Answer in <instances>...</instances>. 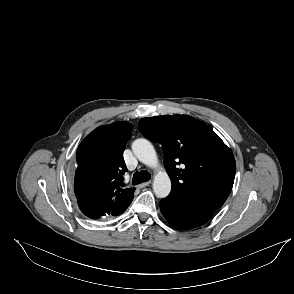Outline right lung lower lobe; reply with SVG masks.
Segmentation results:
<instances>
[{
  "instance_id": "right-lung-lower-lobe-1",
  "label": "right lung lower lobe",
  "mask_w": 294,
  "mask_h": 294,
  "mask_svg": "<svg viewBox=\"0 0 294 294\" xmlns=\"http://www.w3.org/2000/svg\"><path fill=\"white\" fill-rule=\"evenodd\" d=\"M129 205H130V204H129ZM129 205H128V206H129ZM126 209H127V208H126ZM126 209H125V210H126ZM125 210H124V211H125ZM124 211H123V212H124ZM123 212H122V213H123ZM122 213H121V214H122Z\"/></svg>"
}]
</instances>
